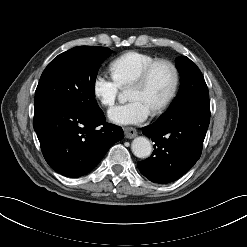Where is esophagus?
Here are the masks:
<instances>
[{"label": "esophagus", "instance_id": "esophagus-1", "mask_svg": "<svg viewBox=\"0 0 247 247\" xmlns=\"http://www.w3.org/2000/svg\"><path fill=\"white\" fill-rule=\"evenodd\" d=\"M124 135L128 139H132L137 136V131L133 127H125L124 128Z\"/></svg>", "mask_w": 247, "mask_h": 247}]
</instances>
